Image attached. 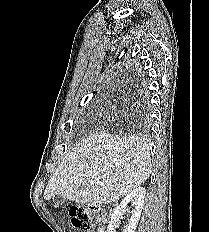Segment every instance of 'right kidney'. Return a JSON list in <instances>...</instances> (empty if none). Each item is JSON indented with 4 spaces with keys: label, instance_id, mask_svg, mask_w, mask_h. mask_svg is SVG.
<instances>
[{
    "label": "right kidney",
    "instance_id": "1",
    "mask_svg": "<svg viewBox=\"0 0 209 232\" xmlns=\"http://www.w3.org/2000/svg\"><path fill=\"white\" fill-rule=\"evenodd\" d=\"M146 195V190L143 187H138L134 189L130 194H128L117 206L112 214L111 221L107 227V232H116L115 228L117 225L118 219L126 212L127 205L132 203L134 206L133 211L131 212V218L129 220V225L124 228V232H135L137 228L138 221L140 220L144 198Z\"/></svg>",
    "mask_w": 209,
    "mask_h": 232
}]
</instances>
